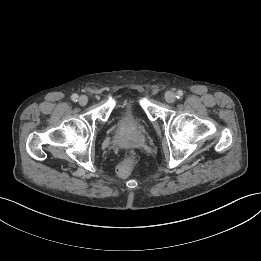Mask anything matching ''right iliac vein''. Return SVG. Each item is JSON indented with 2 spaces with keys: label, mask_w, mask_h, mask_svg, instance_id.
I'll return each instance as SVG.
<instances>
[{
  "label": "right iliac vein",
  "mask_w": 261,
  "mask_h": 261,
  "mask_svg": "<svg viewBox=\"0 0 261 261\" xmlns=\"http://www.w3.org/2000/svg\"><path fill=\"white\" fill-rule=\"evenodd\" d=\"M88 103V97L85 95L80 96L79 98V104L81 106H85Z\"/></svg>",
  "instance_id": "63e3f726"
}]
</instances>
